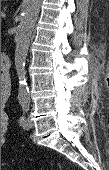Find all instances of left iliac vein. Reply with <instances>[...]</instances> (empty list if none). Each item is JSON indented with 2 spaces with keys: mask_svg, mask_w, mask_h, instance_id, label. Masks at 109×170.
Returning <instances> with one entry per match:
<instances>
[{
  "mask_svg": "<svg viewBox=\"0 0 109 170\" xmlns=\"http://www.w3.org/2000/svg\"><path fill=\"white\" fill-rule=\"evenodd\" d=\"M22 127H23L24 129H26V130L31 129V127H32V122H31V120H30L29 118H25V120H24V122H23V124H22Z\"/></svg>",
  "mask_w": 109,
  "mask_h": 170,
  "instance_id": "1",
  "label": "left iliac vein"
}]
</instances>
